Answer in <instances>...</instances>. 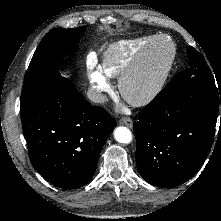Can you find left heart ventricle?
I'll use <instances>...</instances> for the list:
<instances>
[{
    "mask_svg": "<svg viewBox=\"0 0 221 221\" xmlns=\"http://www.w3.org/2000/svg\"><path fill=\"white\" fill-rule=\"evenodd\" d=\"M168 55V45L160 43L153 52L149 65L138 83L133 87L134 93L145 90L156 78Z\"/></svg>",
    "mask_w": 221,
    "mask_h": 221,
    "instance_id": "b2bd125f",
    "label": "left heart ventricle"
}]
</instances>
